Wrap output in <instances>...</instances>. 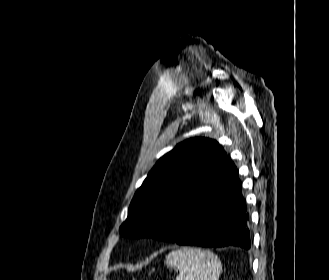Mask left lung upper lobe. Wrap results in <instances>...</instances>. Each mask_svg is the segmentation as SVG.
Instances as JSON below:
<instances>
[{
  "label": "left lung upper lobe",
  "mask_w": 329,
  "mask_h": 280,
  "mask_svg": "<svg viewBox=\"0 0 329 280\" xmlns=\"http://www.w3.org/2000/svg\"><path fill=\"white\" fill-rule=\"evenodd\" d=\"M232 161L208 138H193L164 155L137 190L120 227L129 238L154 237L180 221L188 207L223 183Z\"/></svg>",
  "instance_id": "left-lung-upper-lobe-1"
}]
</instances>
